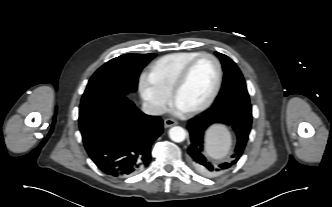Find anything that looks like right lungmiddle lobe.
<instances>
[{"mask_svg":"<svg viewBox=\"0 0 332 207\" xmlns=\"http://www.w3.org/2000/svg\"><path fill=\"white\" fill-rule=\"evenodd\" d=\"M156 54H124L101 66L90 78L81 103L106 94L126 95L137 89L142 68Z\"/></svg>","mask_w":332,"mask_h":207,"instance_id":"right-lung-middle-lobe-1","label":"right lung middle lobe"}]
</instances>
